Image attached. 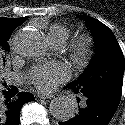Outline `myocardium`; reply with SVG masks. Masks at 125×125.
I'll return each mask as SVG.
<instances>
[{
  "label": "myocardium",
  "mask_w": 125,
  "mask_h": 125,
  "mask_svg": "<svg viewBox=\"0 0 125 125\" xmlns=\"http://www.w3.org/2000/svg\"><path fill=\"white\" fill-rule=\"evenodd\" d=\"M94 51V40L91 36L83 34L77 36L69 46L72 61L79 66L89 62Z\"/></svg>",
  "instance_id": "obj_1"
}]
</instances>
